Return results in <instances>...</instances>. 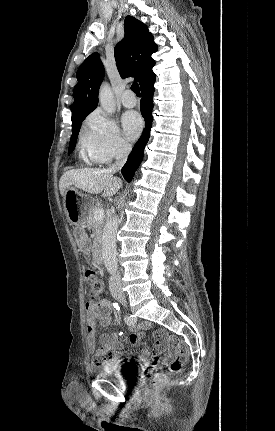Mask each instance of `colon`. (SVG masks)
<instances>
[{"label":"colon","mask_w":275,"mask_h":431,"mask_svg":"<svg viewBox=\"0 0 275 431\" xmlns=\"http://www.w3.org/2000/svg\"><path fill=\"white\" fill-rule=\"evenodd\" d=\"M85 279L88 286V294L91 300L98 299L104 291V281L100 275L94 270H87L85 272ZM153 335L159 338L163 342H168L178 348V356L169 363V368L173 372L179 371L189 354L188 345L178 339L172 337L163 336L159 332H154ZM129 341L131 345L136 346L139 343V336L137 334H131ZM145 375L151 379L148 391L155 392L160 390L167 383V376L159 369L157 362H151L145 369Z\"/></svg>","instance_id":"1"}]
</instances>
